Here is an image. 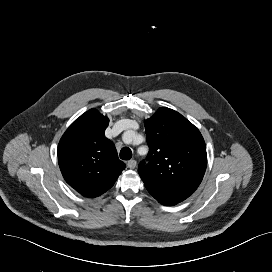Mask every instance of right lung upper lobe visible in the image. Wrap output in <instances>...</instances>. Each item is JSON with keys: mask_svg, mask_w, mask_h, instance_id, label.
Returning <instances> with one entry per match:
<instances>
[{"mask_svg": "<svg viewBox=\"0 0 272 272\" xmlns=\"http://www.w3.org/2000/svg\"><path fill=\"white\" fill-rule=\"evenodd\" d=\"M108 124V117L91 109L71 124L58 145L64 179L88 198L109 190L125 168L115 145L105 137Z\"/></svg>", "mask_w": 272, "mask_h": 272, "instance_id": "1", "label": "right lung upper lobe"}]
</instances>
